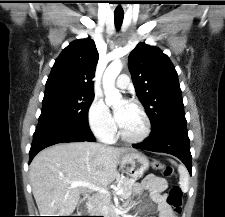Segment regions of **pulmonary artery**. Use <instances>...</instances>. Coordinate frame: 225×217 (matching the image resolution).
Masks as SVG:
<instances>
[{
	"instance_id": "1",
	"label": "pulmonary artery",
	"mask_w": 225,
	"mask_h": 217,
	"mask_svg": "<svg viewBox=\"0 0 225 217\" xmlns=\"http://www.w3.org/2000/svg\"><path fill=\"white\" fill-rule=\"evenodd\" d=\"M130 79L126 74H121L116 80V86L120 89H125L129 86Z\"/></svg>"
}]
</instances>
